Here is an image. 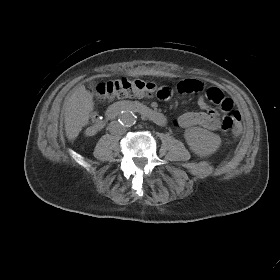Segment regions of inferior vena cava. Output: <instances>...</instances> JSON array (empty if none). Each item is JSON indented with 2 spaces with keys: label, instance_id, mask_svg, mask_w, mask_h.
I'll return each instance as SVG.
<instances>
[{
  "label": "inferior vena cava",
  "instance_id": "inferior-vena-cava-1",
  "mask_svg": "<svg viewBox=\"0 0 280 280\" xmlns=\"http://www.w3.org/2000/svg\"><path fill=\"white\" fill-rule=\"evenodd\" d=\"M108 128L111 134L123 135L126 133V128L117 121H112Z\"/></svg>",
  "mask_w": 280,
  "mask_h": 280
}]
</instances>
